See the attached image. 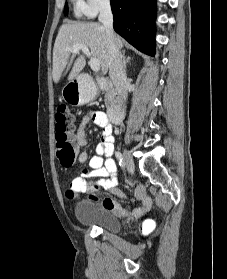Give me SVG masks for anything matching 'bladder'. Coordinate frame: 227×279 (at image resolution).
I'll use <instances>...</instances> for the list:
<instances>
[{
	"label": "bladder",
	"mask_w": 227,
	"mask_h": 279,
	"mask_svg": "<svg viewBox=\"0 0 227 279\" xmlns=\"http://www.w3.org/2000/svg\"><path fill=\"white\" fill-rule=\"evenodd\" d=\"M75 218L81 225L98 227L110 234H118L122 229L121 220L92 199L78 204Z\"/></svg>",
	"instance_id": "1"
}]
</instances>
